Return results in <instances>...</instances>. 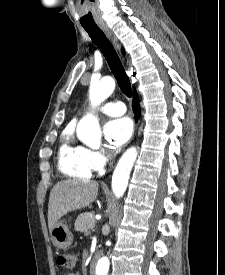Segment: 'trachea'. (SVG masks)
Segmentation results:
<instances>
[{"mask_svg":"<svg viewBox=\"0 0 225 275\" xmlns=\"http://www.w3.org/2000/svg\"><path fill=\"white\" fill-rule=\"evenodd\" d=\"M92 41L99 47L105 56L109 67L114 74L121 91L128 97L132 96L130 80L125 69L110 41L107 39L103 31L95 27H84Z\"/></svg>","mask_w":225,"mask_h":275,"instance_id":"obj_1","label":"trachea"}]
</instances>
